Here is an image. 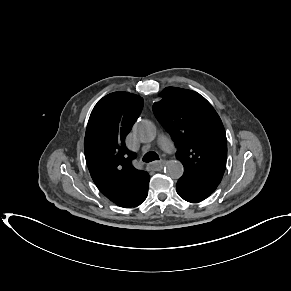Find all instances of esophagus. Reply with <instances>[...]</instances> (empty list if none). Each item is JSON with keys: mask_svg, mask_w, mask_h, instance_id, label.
Instances as JSON below:
<instances>
[{"mask_svg": "<svg viewBox=\"0 0 291 291\" xmlns=\"http://www.w3.org/2000/svg\"><path fill=\"white\" fill-rule=\"evenodd\" d=\"M165 165V160L156 161L150 164V168L155 171L161 170Z\"/></svg>", "mask_w": 291, "mask_h": 291, "instance_id": "esophagus-1", "label": "esophagus"}]
</instances>
